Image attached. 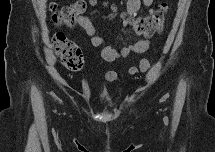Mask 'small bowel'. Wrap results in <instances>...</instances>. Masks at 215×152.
<instances>
[{"instance_id": "1", "label": "small bowel", "mask_w": 215, "mask_h": 152, "mask_svg": "<svg viewBox=\"0 0 215 152\" xmlns=\"http://www.w3.org/2000/svg\"><path fill=\"white\" fill-rule=\"evenodd\" d=\"M142 3L145 6H150L152 0H129L127 2V11L130 18L137 15ZM77 24L89 36L91 45L100 48L101 56L107 62L127 58L131 53H144L149 48V42L147 40L138 39L132 43H126L120 50H116L107 43L105 38L96 34L95 27L87 16L81 15L77 19ZM149 69V61L142 59L138 67H131L129 69V75L133 77L139 72L145 73ZM103 78L108 83H114L117 81V74L114 71H107L104 73Z\"/></svg>"}]
</instances>
